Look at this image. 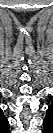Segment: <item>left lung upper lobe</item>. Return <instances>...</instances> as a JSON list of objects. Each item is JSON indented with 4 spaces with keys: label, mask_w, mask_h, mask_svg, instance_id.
Instances as JSON below:
<instances>
[{
    "label": "left lung upper lobe",
    "mask_w": 53,
    "mask_h": 133,
    "mask_svg": "<svg viewBox=\"0 0 53 133\" xmlns=\"http://www.w3.org/2000/svg\"><path fill=\"white\" fill-rule=\"evenodd\" d=\"M52 116H53V107L52 106H49L48 110H47V115H46V118L44 120V126H47L49 124H51L53 121H52Z\"/></svg>",
    "instance_id": "5c2ea615"
}]
</instances>
